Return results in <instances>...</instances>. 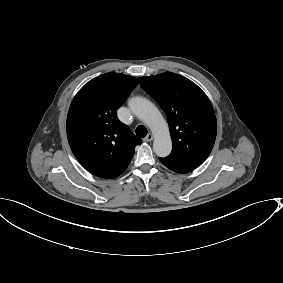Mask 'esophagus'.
<instances>
[{
	"instance_id": "obj_1",
	"label": "esophagus",
	"mask_w": 283,
	"mask_h": 283,
	"mask_svg": "<svg viewBox=\"0 0 283 283\" xmlns=\"http://www.w3.org/2000/svg\"><path fill=\"white\" fill-rule=\"evenodd\" d=\"M151 140H153V135L151 133H149L145 138H143L144 142H150Z\"/></svg>"
}]
</instances>
